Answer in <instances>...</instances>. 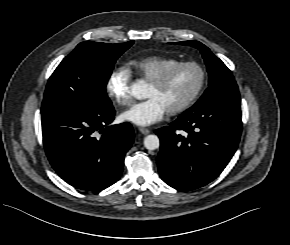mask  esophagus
<instances>
[{"mask_svg":"<svg viewBox=\"0 0 290 245\" xmlns=\"http://www.w3.org/2000/svg\"><path fill=\"white\" fill-rule=\"evenodd\" d=\"M138 130L144 135H147L150 133V130L148 128L139 127Z\"/></svg>","mask_w":290,"mask_h":245,"instance_id":"1","label":"esophagus"}]
</instances>
